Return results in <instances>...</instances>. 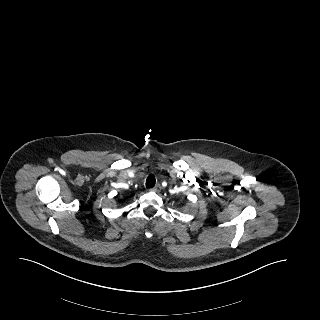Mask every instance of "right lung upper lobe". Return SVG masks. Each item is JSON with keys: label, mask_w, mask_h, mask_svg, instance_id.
I'll list each match as a JSON object with an SVG mask.
<instances>
[{"label": "right lung upper lobe", "mask_w": 320, "mask_h": 320, "mask_svg": "<svg viewBox=\"0 0 320 320\" xmlns=\"http://www.w3.org/2000/svg\"><path fill=\"white\" fill-rule=\"evenodd\" d=\"M124 200H126V198H124L123 200H119V201L122 203Z\"/></svg>", "instance_id": "1"}]
</instances>
